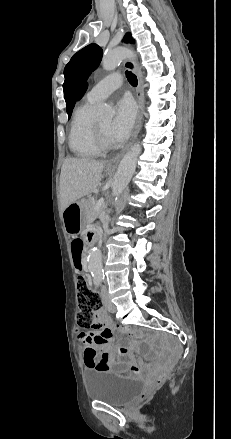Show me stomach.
<instances>
[{
	"label": "stomach",
	"instance_id": "1",
	"mask_svg": "<svg viewBox=\"0 0 231 439\" xmlns=\"http://www.w3.org/2000/svg\"><path fill=\"white\" fill-rule=\"evenodd\" d=\"M111 172L112 171L110 169H106L107 174H111ZM80 204L81 203L78 202L76 204H71V205L79 206ZM71 205H69L67 208L64 209L65 215L63 216V221H64L65 230L68 232V234L75 235L82 229L83 222L79 218V215H70L71 211L68 209L71 207Z\"/></svg>",
	"mask_w": 231,
	"mask_h": 439
}]
</instances>
